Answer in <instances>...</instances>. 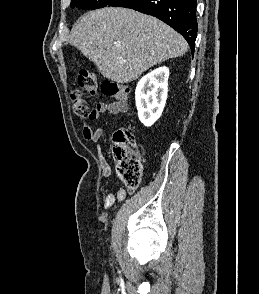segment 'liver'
<instances>
[{
	"label": "liver",
	"instance_id": "1",
	"mask_svg": "<svg viewBox=\"0 0 259 294\" xmlns=\"http://www.w3.org/2000/svg\"><path fill=\"white\" fill-rule=\"evenodd\" d=\"M69 43L91 60L103 77L121 84L188 50L186 40L167 24L121 7L84 14L72 27Z\"/></svg>",
	"mask_w": 259,
	"mask_h": 294
}]
</instances>
